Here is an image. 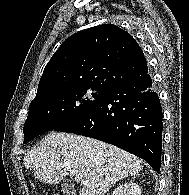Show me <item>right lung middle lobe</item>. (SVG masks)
I'll return each mask as SVG.
<instances>
[{
	"label": "right lung middle lobe",
	"instance_id": "obj_1",
	"mask_svg": "<svg viewBox=\"0 0 189 195\" xmlns=\"http://www.w3.org/2000/svg\"><path fill=\"white\" fill-rule=\"evenodd\" d=\"M107 91L103 87H73L35 98L29 105L23 128L24 144L79 117L103 98Z\"/></svg>",
	"mask_w": 189,
	"mask_h": 195
}]
</instances>
